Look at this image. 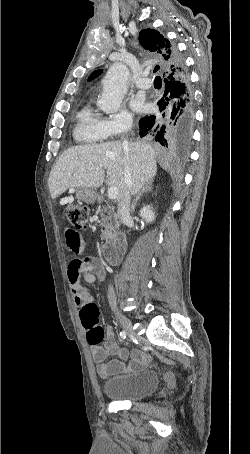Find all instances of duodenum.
I'll return each mask as SVG.
<instances>
[{
  "instance_id": "1",
  "label": "duodenum",
  "mask_w": 250,
  "mask_h": 454,
  "mask_svg": "<svg viewBox=\"0 0 250 454\" xmlns=\"http://www.w3.org/2000/svg\"><path fill=\"white\" fill-rule=\"evenodd\" d=\"M126 237L123 235L119 239H111L101 247V254L103 259L111 264L118 265L120 263V253L123 249Z\"/></svg>"
}]
</instances>
